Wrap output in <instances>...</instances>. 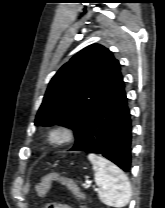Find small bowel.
<instances>
[{
	"label": "small bowel",
	"mask_w": 165,
	"mask_h": 208,
	"mask_svg": "<svg viewBox=\"0 0 165 208\" xmlns=\"http://www.w3.org/2000/svg\"><path fill=\"white\" fill-rule=\"evenodd\" d=\"M48 208H71L69 207L68 205H65V204H51L48 206Z\"/></svg>",
	"instance_id": "c3829d8e"
}]
</instances>
